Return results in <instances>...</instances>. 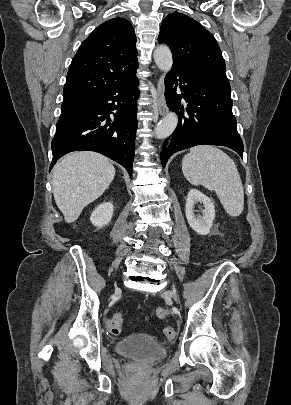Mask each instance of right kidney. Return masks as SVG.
Listing matches in <instances>:
<instances>
[{
    "label": "right kidney",
    "instance_id": "obj_1",
    "mask_svg": "<svg viewBox=\"0 0 291 405\" xmlns=\"http://www.w3.org/2000/svg\"><path fill=\"white\" fill-rule=\"evenodd\" d=\"M113 216V204L111 202H104L100 204L91 214V223L101 228L107 225Z\"/></svg>",
    "mask_w": 291,
    "mask_h": 405
}]
</instances>
